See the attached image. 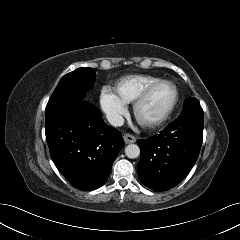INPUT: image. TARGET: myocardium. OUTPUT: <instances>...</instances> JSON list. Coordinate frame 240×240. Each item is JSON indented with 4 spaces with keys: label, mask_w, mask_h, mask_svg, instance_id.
Segmentation results:
<instances>
[{
    "label": "myocardium",
    "mask_w": 240,
    "mask_h": 240,
    "mask_svg": "<svg viewBox=\"0 0 240 240\" xmlns=\"http://www.w3.org/2000/svg\"><path fill=\"white\" fill-rule=\"evenodd\" d=\"M164 85H169L172 86L175 90V97L174 100L172 102V104L170 105V107L168 108V110L166 112H164L161 116L154 118V119H146L143 118L140 115V107L142 106V104L148 100V98L151 96V94L158 89L161 86ZM180 99V92L179 89L177 87V85L171 81L168 80H162L159 81L151 86H149L146 90H144L134 101L133 103V113L135 118L137 119V121L145 126V127H149V128H154L157 126H160L161 124H163L174 112V110L176 109L178 102Z\"/></svg>",
    "instance_id": "f54148a6"
}]
</instances>
